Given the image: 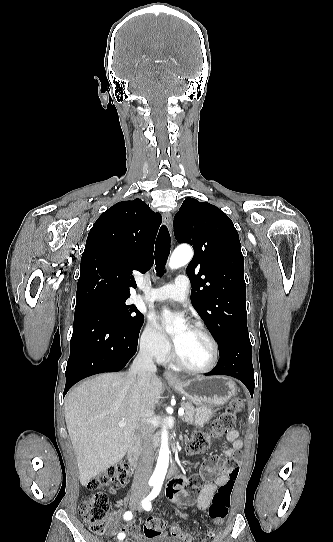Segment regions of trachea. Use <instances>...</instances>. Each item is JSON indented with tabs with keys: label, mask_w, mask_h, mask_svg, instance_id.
Segmentation results:
<instances>
[{
	"label": "trachea",
	"mask_w": 333,
	"mask_h": 542,
	"mask_svg": "<svg viewBox=\"0 0 333 542\" xmlns=\"http://www.w3.org/2000/svg\"><path fill=\"white\" fill-rule=\"evenodd\" d=\"M170 244L171 238L168 229L165 225H162L159 230L155 245V262L157 275H161L164 272V267L170 254Z\"/></svg>",
	"instance_id": "obj_1"
}]
</instances>
